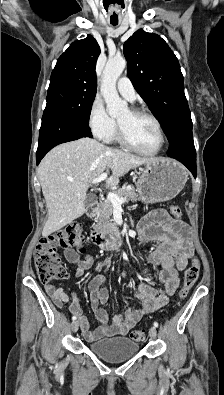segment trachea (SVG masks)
Masks as SVG:
<instances>
[{
	"instance_id": "3493384b",
	"label": "trachea",
	"mask_w": 224,
	"mask_h": 395,
	"mask_svg": "<svg viewBox=\"0 0 224 395\" xmlns=\"http://www.w3.org/2000/svg\"><path fill=\"white\" fill-rule=\"evenodd\" d=\"M113 26H116L118 23L117 22H114V23H111Z\"/></svg>"
}]
</instances>
